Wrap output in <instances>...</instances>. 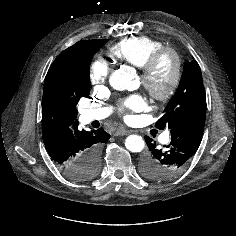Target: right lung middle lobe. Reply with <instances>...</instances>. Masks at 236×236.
<instances>
[{
  "label": "right lung middle lobe",
  "instance_id": "dd1d6c3e",
  "mask_svg": "<svg viewBox=\"0 0 236 236\" xmlns=\"http://www.w3.org/2000/svg\"><path fill=\"white\" fill-rule=\"evenodd\" d=\"M107 40L90 43L81 47L76 54L73 69L64 91L77 104L80 98L88 97L90 93L89 67L91 60L97 50L102 47ZM100 168L99 154L89 157L86 164L82 166L81 180H89L97 175ZM74 177V175H72Z\"/></svg>",
  "mask_w": 236,
  "mask_h": 236
}]
</instances>
